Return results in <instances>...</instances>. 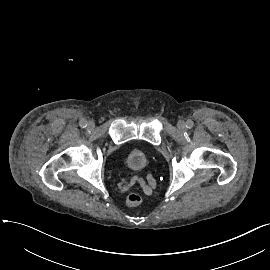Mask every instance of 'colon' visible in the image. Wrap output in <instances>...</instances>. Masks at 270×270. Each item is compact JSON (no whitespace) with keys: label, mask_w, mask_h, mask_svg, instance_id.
<instances>
[{"label":"colon","mask_w":270,"mask_h":270,"mask_svg":"<svg viewBox=\"0 0 270 270\" xmlns=\"http://www.w3.org/2000/svg\"><path fill=\"white\" fill-rule=\"evenodd\" d=\"M143 197L140 193L132 192L126 197V204L129 206H138L142 203Z\"/></svg>","instance_id":"colon-1"}]
</instances>
